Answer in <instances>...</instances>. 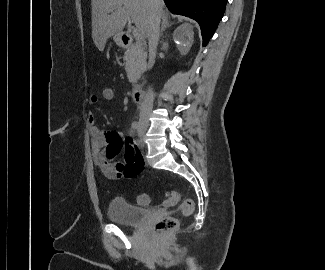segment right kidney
Wrapping results in <instances>:
<instances>
[{
  "instance_id": "ca27d5eb",
  "label": "right kidney",
  "mask_w": 325,
  "mask_h": 270,
  "mask_svg": "<svg viewBox=\"0 0 325 270\" xmlns=\"http://www.w3.org/2000/svg\"><path fill=\"white\" fill-rule=\"evenodd\" d=\"M173 39L177 43L180 53L187 54L194 41L192 27L188 24L179 26L173 33Z\"/></svg>"
}]
</instances>
